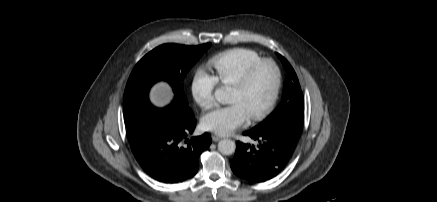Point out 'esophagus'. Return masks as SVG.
<instances>
[{
    "label": "esophagus",
    "mask_w": 437,
    "mask_h": 202,
    "mask_svg": "<svg viewBox=\"0 0 437 202\" xmlns=\"http://www.w3.org/2000/svg\"><path fill=\"white\" fill-rule=\"evenodd\" d=\"M221 139H222V137H220V136H218V135H215V134L212 135V140H213L214 142H217V141H219V140H221Z\"/></svg>",
    "instance_id": "1"
}]
</instances>
